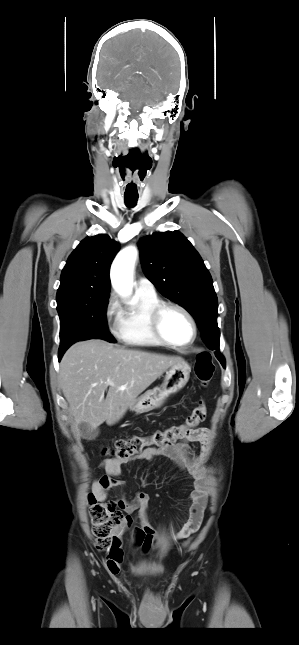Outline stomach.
Listing matches in <instances>:
<instances>
[{"mask_svg":"<svg viewBox=\"0 0 299 645\" xmlns=\"http://www.w3.org/2000/svg\"><path fill=\"white\" fill-rule=\"evenodd\" d=\"M190 372L191 368L184 360L174 364L166 372L163 384L138 397L130 406V410L141 414L161 407L171 394L178 392L187 384Z\"/></svg>","mask_w":299,"mask_h":645,"instance_id":"0dacf381","label":"stomach"}]
</instances>
